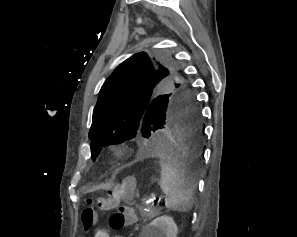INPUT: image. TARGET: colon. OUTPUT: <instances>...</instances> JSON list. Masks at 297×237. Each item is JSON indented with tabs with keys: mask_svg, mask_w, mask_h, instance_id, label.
Listing matches in <instances>:
<instances>
[{
	"mask_svg": "<svg viewBox=\"0 0 297 237\" xmlns=\"http://www.w3.org/2000/svg\"><path fill=\"white\" fill-rule=\"evenodd\" d=\"M130 180L108 191L105 196H98L88 200V207L82 213V223L86 231L91 230L96 221L98 208L103 211L114 210L110 217L109 225L113 229H122L135 222V214L131 206L121 204L122 200L128 199L131 195Z\"/></svg>",
	"mask_w": 297,
	"mask_h": 237,
	"instance_id": "colon-1",
	"label": "colon"
}]
</instances>
